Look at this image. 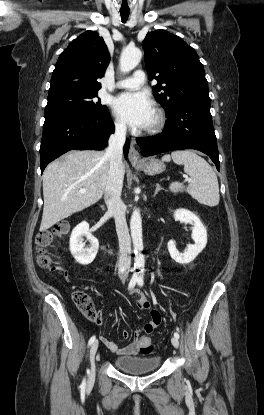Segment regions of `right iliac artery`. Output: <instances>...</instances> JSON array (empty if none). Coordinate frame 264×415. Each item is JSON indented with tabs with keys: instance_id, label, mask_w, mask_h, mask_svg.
I'll list each match as a JSON object with an SVG mask.
<instances>
[{
	"instance_id": "1",
	"label": "right iliac artery",
	"mask_w": 264,
	"mask_h": 415,
	"mask_svg": "<svg viewBox=\"0 0 264 415\" xmlns=\"http://www.w3.org/2000/svg\"><path fill=\"white\" fill-rule=\"evenodd\" d=\"M136 270V267H133L132 268V271H135ZM137 277L136 276H133L132 278H131V280H130V282H129V285H128V289H132V288H134L135 287V285H136V283H137ZM96 340V336H92L90 339H89V342H88V345L90 346L94 341ZM83 385H85L86 384V382H85V379L83 380V383H82Z\"/></svg>"
}]
</instances>
